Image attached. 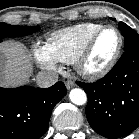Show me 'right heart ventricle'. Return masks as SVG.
<instances>
[{"instance_id":"e07e8e85","label":"right heart ventricle","mask_w":139,"mask_h":139,"mask_svg":"<svg viewBox=\"0 0 139 139\" xmlns=\"http://www.w3.org/2000/svg\"><path fill=\"white\" fill-rule=\"evenodd\" d=\"M102 26L89 22L58 30L47 38L45 47L56 61L74 63L91 35Z\"/></svg>"}]
</instances>
